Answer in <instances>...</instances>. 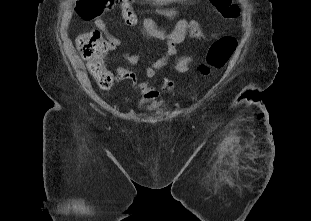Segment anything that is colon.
I'll return each instance as SVG.
<instances>
[{
    "instance_id": "1",
    "label": "colon",
    "mask_w": 311,
    "mask_h": 221,
    "mask_svg": "<svg viewBox=\"0 0 311 221\" xmlns=\"http://www.w3.org/2000/svg\"><path fill=\"white\" fill-rule=\"evenodd\" d=\"M133 0H81L75 1L77 8L75 13L78 16L77 22H89V17H100L101 11L105 16L106 12H114L115 6L110 4H122L124 18L128 26H134L136 15L131 4ZM85 4V5H83ZM215 9H221L222 16L227 20H235L240 16L241 2L235 0H215ZM188 34L194 39L203 38V28L198 20H192L187 27ZM237 37L235 35L222 36L209 48L206 60L198 67L202 76L210 75L213 69L222 68L229 61L237 48ZM76 46L84 57L90 75L102 88L112 85L114 81L110 68L106 65V58L109 53L108 41L102 37L98 30L87 31L77 37Z\"/></svg>"
}]
</instances>
